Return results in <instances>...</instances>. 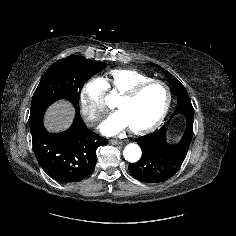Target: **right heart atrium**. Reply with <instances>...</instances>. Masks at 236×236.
I'll list each match as a JSON object with an SVG mask.
<instances>
[{
  "label": "right heart atrium",
  "mask_w": 236,
  "mask_h": 236,
  "mask_svg": "<svg viewBox=\"0 0 236 236\" xmlns=\"http://www.w3.org/2000/svg\"><path fill=\"white\" fill-rule=\"evenodd\" d=\"M106 87L101 78L88 80L79 96L81 112L85 121L91 125H97L105 116L108 107L105 101Z\"/></svg>",
  "instance_id": "1"
}]
</instances>
